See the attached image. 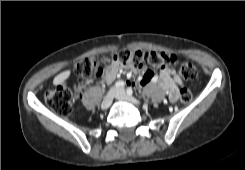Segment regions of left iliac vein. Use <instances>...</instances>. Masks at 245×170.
<instances>
[{"label": "left iliac vein", "mask_w": 245, "mask_h": 170, "mask_svg": "<svg viewBox=\"0 0 245 170\" xmlns=\"http://www.w3.org/2000/svg\"><path fill=\"white\" fill-rule=\"evenodd\" d=\"M114 97L118 100L130 102L133 105H139L140 103L139 100H137L136 98L127 96L123 88L116 89V93L114 94Z\"/></svg>", "instance_id": "obj_1"}]
</instances>
